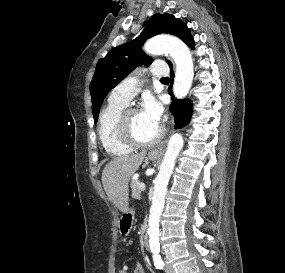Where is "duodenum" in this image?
<instances>
[{
	"label": "duodenum",
	"instance_id": "obj_1",
	"mask_svg": "<svg viewBox=\"0 0 285 273\" xmlns=\"http://www.w3.org/2000/svg\"><path fill=\"white\" fill-rule=\"evenodd\" d=\"M148 242H149V238H148V235L145 233L143 236V245L145 249H148Z\"/></svg>",
	"mask_w": 285,
	"mask_h": 273
}]
</instances>
